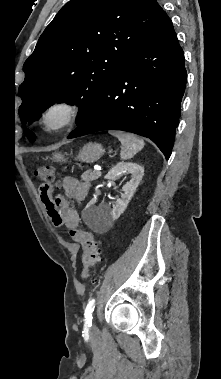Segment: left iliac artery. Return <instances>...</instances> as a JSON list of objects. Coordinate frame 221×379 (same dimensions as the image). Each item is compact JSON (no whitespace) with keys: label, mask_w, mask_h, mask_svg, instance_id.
<instances>
[{"label":"left iliac artery","mask_w":221,"mask_h":379,"mask_svg":"<svg viewBox=\"0 0 221 379\" xmlns=\"http://www.w3.org/2000/svg\"><path fill=\"white\" fill-rule=\"evenodd\" d=\"M94 306H95V299H92L88 302L85 309V323L88 326H91L92 324V312L94 311Z\"/></svg>","instance_id":"obj_1"}]
</instances>
